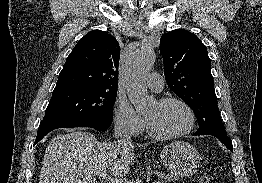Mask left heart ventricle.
<instances>
[{"instance_id": "b2bd125f", "label": "left heart ventricle", "mask_w": 262, "mask_h": 183, "mask_svg": "<svg viewBox=\"0 0 262 183\" xmlns=\"http://www.w3.org/2000/svg\"><path fill=\"white\" fill-rule=\"evenodd\" d=\"M145 118L156 132L164 135L181 132L190 124L188 111L178 103L165 106L156 103L146 112Z\"/></svg>"}]
</instances>
